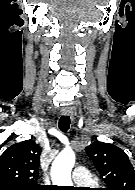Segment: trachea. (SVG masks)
<instances>
[{
	"label": "trachea",
	"mask_w": 135,
	"mask_h": 190,
	"mask_svg": "<svg viewBox=\"0 0 135 190\" xmlns=\"http://www.w3.org/2000/svg\"><path fill=\"white\" fill-rule=\"evenodd\" d=\"M59 128L62 132H67L70 128V117L62 116L59 120Z\"/></svg>",
	"instance_id": "1"
}]
</instances>
